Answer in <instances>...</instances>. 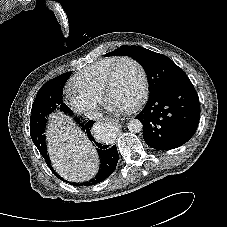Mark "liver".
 Returning <instances> with one entry per match:
<instances>
[{"label":"liver","mask_w":227,"mask_h":227,"mask_svg":"<svg viewBox=\"0 0 227 227\" xmlns=\"http://www.w3.org/2000/svg\"><path fill=\"white\" fill-rule=\"evenodd\" d=\"M51 118L47 140L54 169L68 181L90 180L98 169L95 149L69 117L52 115Z\"/></svg>","instance_id":"6515ba94"}]
</instances>
